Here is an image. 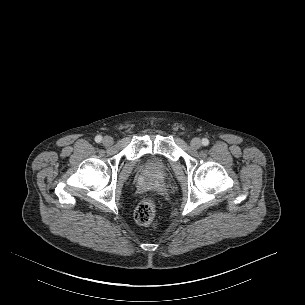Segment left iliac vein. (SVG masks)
Segmentation results:
<instances>
[{"instance_id":"left-iliac-vein-1","label":"left iliac vein","mask_w":305,"mask_h":305,"mask_svg":"<svg viewBox=\"0 0 305 305\" xmlns=\"http://www.w3.org/2000/svg\"><path fill=\"white\" fill-rule=\"evenodd\" d=\"M201 140L197 137L193 138L190 142V145L193 149H199L201 147Z\"/></svg>"}]
</instances>
